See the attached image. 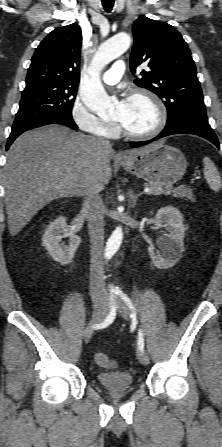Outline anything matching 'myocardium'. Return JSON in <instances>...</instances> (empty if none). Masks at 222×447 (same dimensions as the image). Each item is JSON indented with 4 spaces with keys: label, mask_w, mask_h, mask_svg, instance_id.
<instances>
[{
    "label": "myocardium",
    "mask_w": 222,
    "mask_h": 447,
    "mask_svg": "<svg viewBox=\"0 0 222 447\" xmlns=\"http://www.w3.org/2000/svg\"><path fill=\"white\" fill-rule=\"evenodd\" d=\"M138 97H143V98L148 99L156 108V111L158 114V121H157L156 126L148 132L133 133V132L127 130L120 122H118V129L122 135H124L125 137H127L129 139L146 140V139H150V138L157 136L158 134H160L163 131V129L165 128V126L167 124L168 115H167V110H166L164 103L153 92L145 90V89L134 90L130 94L129 99H134V98H138Z\"/></svg>",
    "instance_id": "obj_1"
}]
</instances>
